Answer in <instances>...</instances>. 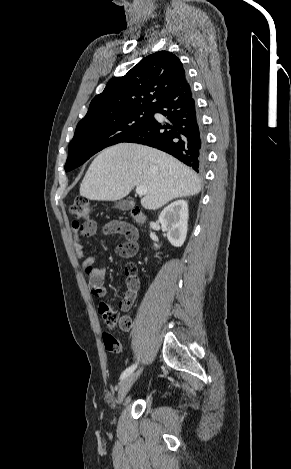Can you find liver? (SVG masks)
Listing matches in <instances>:
<instances>
[{"mask_svg": "<svg viewBox=\"0 0 291 469\" xmlns=\"http://www.w3.org/2000/svg\"><path fill=\"white\" fill-rule=\"evenodd\" d=\"M140 185L147 189L140 203L149 210L201 190L196 173L169 154L120 143L104 149L93 160L80 185V195L90 200L115 201Z\"/></svg>", "mask_w": 291, "mask_h": 469, "instance_id": "6515ba94", "label": "liver"}]
</instances>
